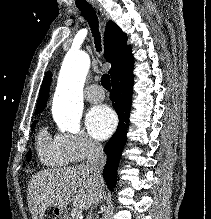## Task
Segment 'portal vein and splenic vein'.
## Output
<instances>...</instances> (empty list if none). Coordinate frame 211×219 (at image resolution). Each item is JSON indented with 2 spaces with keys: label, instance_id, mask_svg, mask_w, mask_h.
<instances>
[{
  "label": "portal vein and splenic vein",
  "instance_id": "1",
  "mask_svg": "<svg viewBox=\"0 0 211 219\" xmlns=\"http://www.w3.org/2000/svg\"><path fill=\"white\" fill-rule=\"evenodd\" d=\"M81 214V211H79L77 208H75L72 212V216L74 217H78Z\"/></svg>",
  "mask_w": 211,
  "mask_h": 219
}]
</instances>
